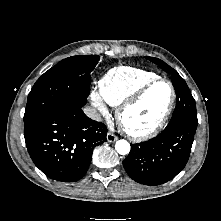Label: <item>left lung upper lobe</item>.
I'll return each mask as SVG.
<instances>
[{"label":"left lung upper lobe","mask_w":221,"mask_h":221,"mask_svg":"<svg viewBox=\"0 0 221 221\" xmlns=\"http://www.w3.org/2000/svg\"><path fill=\"white\" fill-rule=\"evenodd\" d=\"M147 59L156 63L159 67H161L164 71L172 75V84L176 91V96H184V98L188 99L186 107L183 105V109H175L172 115V118L168 125L184 123L194 127H197V112L195 100L192 97V94L184 81V79L177 73L176 70L171 68L168 64L163 62L160 59L147 57Z\"/></svg>","instance_id":"obj_1"}]
</instances>
